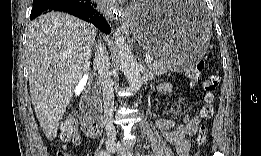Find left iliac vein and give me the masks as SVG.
<instances>
[{
  "instance_id": "obj_1",
  "label": "left iliac vein",
  "mask_w": 261,
  "mask_h": 156,
  "mask_svg": "<svg viewBox=\"0 0 261 156\" xmlns=\"http://www.w3.org/2000/svg\"><path fill=\"white\" fill-rule=\"evenodd\" d=\"M117 154L120 156H132V152L121 144L117 146Z\"/></svg>"
}]
</instances>
